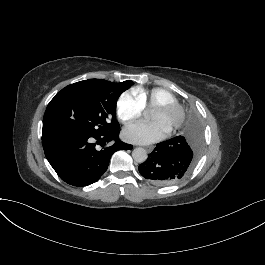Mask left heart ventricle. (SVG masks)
Instances as JSON below:
<instances>
[{
  "label": "left heart ventricle",
  "instance_id": "left-heart-ventricle-1",
  "mask_svg": "<svg viewBox=\"0 0 265 265\" xmlns=\"http://www.w3.org/2000/svg\"><path fill=\"white\" fill-rule=\"evenodd\" d=\"M176 115H177L176 109H172L167 112L157 111L153 109L151 121L160 122L166 128H168L171 121L176 117Z\"/></svg>",
  "mask_w": 265,
  "mask_h": 265
}]
</instances>
